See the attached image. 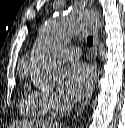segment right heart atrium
<instances>
[{"label":"right heart atrium","mask_w":125,"mask_h":128,"mask_svg":"<svg viewBox=\"0 0 125 128\" xmlns=\"http://www.w3.org/2000/svg\"><path fill=\"white\" fill-rule=\"evenodd\" d=\"M39 93L42 96L51 113H58L64 109L65 102L55 92L43 90L39 91Z\"/></svg>","instance_id":"1"}]
</instances>
